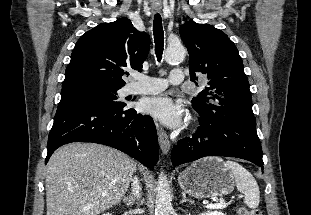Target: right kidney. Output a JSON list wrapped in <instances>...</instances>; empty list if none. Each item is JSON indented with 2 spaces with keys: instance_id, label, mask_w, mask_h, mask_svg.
I'll return each instance as SVG.
<instances>
[{
  "instance_id": "obj_1",
  "label": "right kidney",
  "mask_w": 311,
  "mask_h": 215,
  "mask_svg": "<svg viewBox=\"0 0 311 215\" xmlns=\"http://www.w3.org/2000/svg\"><path fill=\"white\" fill-rule=\"evenodd\" d=\"M104 215H111V214L107 213V214H104Z\"/></svg>"
}]
</instances>
